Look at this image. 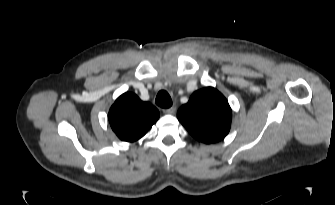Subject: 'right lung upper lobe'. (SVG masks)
<instances>
[{"mask_svg": "<svg viewBox=\"0 0 335 205\" xmlns=\"http://www.w3.org/2000/svg\"><path fill=\"white\" fill-rule=\"evenodd\" d=\"M159 111L133 93L119 96L109 110L112 130L123 141L134 142L143 137L158 120Z\"/></svg>", "mask_w": 335, "mask_h": 205, "instance_id": "obj_1", "label": "right lung upper lobe"}]
</instances>
